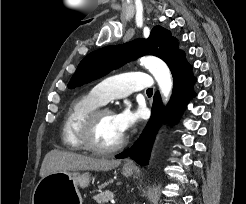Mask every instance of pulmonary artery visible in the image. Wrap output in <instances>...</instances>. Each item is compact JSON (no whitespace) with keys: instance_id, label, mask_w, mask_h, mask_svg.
<instances>
[{"instance_id":"obj_1","label":"pulmonary artery","mask_w":246,"mask_h":204,"mask_svg":"<svg viewBox=\"0 0 246 204\" xmlns=\"http://www.w3.org/2000/svg\"><path fill=\"white\" fill-rule=\"evenodd\" d=\"M153 85L151 77L144 72H128L106 78L92 90V95L105 104L112 99L126 97L134 91L149 89Z\"/></svg>"}]
</instances>
